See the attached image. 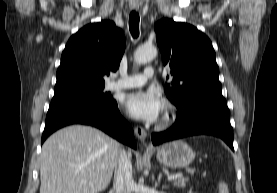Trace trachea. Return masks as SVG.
<instances>
[{
  "instance_id": "3493384b",
  "label": "trachea",
  "mask_w": 277,
  "mask_h": 193,
  "mask_svg": "<svg viewBox=\"0 0 277 193\" xmlns=\"http://www.w3.org/2000/svg\"><path fill=\"white\" fill-rule=\"evenodd\" d=\"M139 14L136 11H132L129 16V30L133 38L139 36Z\"/></svg>"
}]
</instances>
